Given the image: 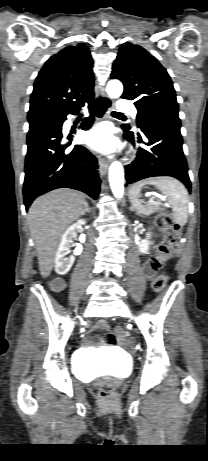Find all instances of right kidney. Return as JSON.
Here are the masks:
<instances>
[{
    "label": "right kidney",
    "instance_id": "obj_1",
    "mask_svg": "<svg viewBox=\"0 0 208 461\" xmlns=\"http://www.w3.org/2000/svg\"><path fill=\"white\" fill-rule=\"evenodd\" d=\"M85 224L86 220L80 219L71 225L63 234L55 257V271L59 275L66 274L71 269L75 261V255H80L82 253V245H78L73 251V255H71L69 258L66 257V255L71 252L70 247L72 246L73 240L77 236L78 227Z\"/></svg>",
    "mask_w": 208,
    "mask_h": 461
}]
</instances>
